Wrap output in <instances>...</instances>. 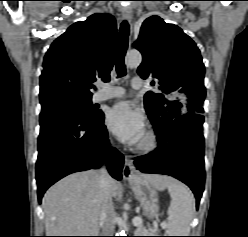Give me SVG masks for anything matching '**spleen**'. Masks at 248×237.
Instances as JSON below:
<instances>
[{
  "instance_id": "3e777b00",
  "label": "spleen",
  "mask_w": 248,
  "mask_h": 237,
  "mask_svg": "<svg viewBox=\"0 0 248 237\" xmlns=\"http://www.w3.org/2000/svg\"><path fill=\"white\" fill-rule=\"evenodd\" d=\"M171 202L168 208L167 233L169 236H189L195 200L182 183L171 180L167 184Z\"/></svg>"
}]
</instances>
